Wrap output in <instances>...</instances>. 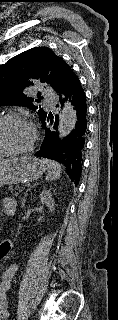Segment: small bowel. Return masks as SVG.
Masks as SVG:
<instances>
[{"label": "small bowel", "mask_w": 118, "mask_h": 320, "mask_svg": "<svg viewBox=\"0 0 118 320\" xmlns=\"http://www.w3.org/2000/svg\"><path fill=\"white\" fill-rule=\"evenodd\" d=\"M2 211L4 214H11L15 206L14 199L11 197H4L1 200ZM12 247V242H11ZM8 249V251L11 249ZM2 249V245L0 247ZM18 271V265L13 264L2 272L0 275V320H5L9 316V299L7 292L9 291L12 281Z\"/></svg>", "instance_id": "c3829d8e"}]
</instances>
